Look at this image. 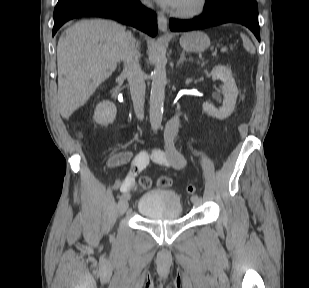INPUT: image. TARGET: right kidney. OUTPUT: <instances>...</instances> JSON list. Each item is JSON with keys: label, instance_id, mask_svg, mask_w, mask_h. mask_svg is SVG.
Wrapping results in <instances>:
<instances>
[{"label": "right kidney", "instance_id": "right-kidney-1", "mask_svg": "<svg viewBox=\"0 0 309 288\" xmlns=\"http://www.w3.org/2000/svg\"><path fill=\"white\" fill-rule=\"evenodd\" d=\"M116 106L111 102H100L94 111V120L100 125H108L113 122L116 117Z\"/></svg>", "mask_w": 309, "mask_h": 288}]
</instances>
